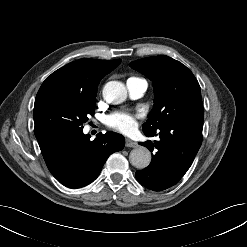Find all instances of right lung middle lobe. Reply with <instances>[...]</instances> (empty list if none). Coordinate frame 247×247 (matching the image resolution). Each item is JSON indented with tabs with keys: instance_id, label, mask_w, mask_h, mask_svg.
Masks as SVG:
<instances>
[{
	"instance_id": "dd1d6c3e",
	"label": "right lung middle lobe",
	"mask_w": 247,
	"mask_h": 247,
	"mask_svg": "<svg viewBox=\"0 0 247 247\" xmlns=\"http://www.w3.org/2000/svg\"><path fill=\"white\" fill-rule=\"evenodd\" d=\"M96 97L48 95L35 100V129L82 130L88 116L94 115Z\"/></svg>"
}]
</instances>
